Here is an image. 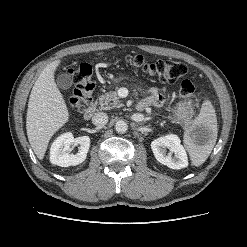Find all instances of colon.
Segmentation results:
<instances>
[{
    "instance_id": "5ec220e1",
    "label": "colon",
    "mask_w": 247,
    "mask_h": 247,
    "mask_svg": "<svg viewBox=\"0 0 247 247\" xmlns=\"http://www.w3.org/2000/svg\"><path fill=\"white\" fill-rule=\"evenodd\" d=\"M125 63L134 72L157 78L159 80L174 83L187 73L185 64L172 60H159L147 62L142 56H127ZM75 88L69 97V104L72 108L82 111L90 102L94 90L92 81V69L89 64L83 63L69 70ZM194 84L185 79L180 84V95L187 99H194Z\"/></svg>"
}]
</instances>
